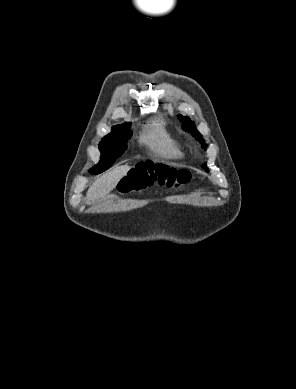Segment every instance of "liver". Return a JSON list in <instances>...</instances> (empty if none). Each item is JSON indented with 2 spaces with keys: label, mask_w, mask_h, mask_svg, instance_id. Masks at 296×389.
<instances>
[{
  "label": "liver",
  "mask_w": 296,
  "mask_h": 389,
  "mask_svg": "<svg viewBox=\"0 0 296 389\" xmlns=\"http://www.w3.org/2000/svg\"><path fill=\"white\" fill-rule=\"evenodd\" d=\"M129 170L130 167L127 165L118 166L96 179L87 191V202H94L105 197L116 187L121 178L127 175Z\"/></svg>",
  "instance_id": "1"
}]
</instances>
